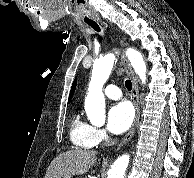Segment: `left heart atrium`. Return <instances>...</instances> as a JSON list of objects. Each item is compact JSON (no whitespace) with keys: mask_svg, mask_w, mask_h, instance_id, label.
I'll return each mask as SVG.
<instances>
[{"mask_svg":"<svg viewBox=\"0 0 194 178\" xmlns=\"http://www.w3.org/2000/svg\"><path fill=\"white\" fill-rule=\"evenodd\" d=\"M134 111L127 102L114 104L108 113L107 127L114 134L125 132L132 124Z\"/></svg>","mask_w":194,"mask_h":178,"instance_id":"left-heart-atrium-1","label":"left heart atrium"}]
</instances>
